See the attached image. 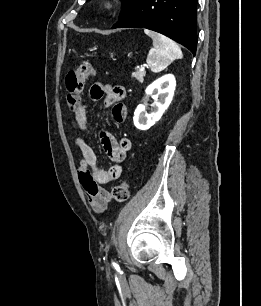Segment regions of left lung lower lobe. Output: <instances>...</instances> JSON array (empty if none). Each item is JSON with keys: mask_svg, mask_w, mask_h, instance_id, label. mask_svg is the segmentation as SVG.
I'll use <instances>...</instances> for the list:
<instances>
[{"mask_svg": "<svg viewBox=\"0 0 261 306\" xmlns=\"http://www.w3.org/2000/svg\"><path fill=\"white\" fill-rule=\"evenodd\" d=\"M198 0H136L112 26L147 28L159 32L196 54V6Z\"/></svg>", "mask_w": 261, "mask_h": 306, "instance_id": "left-lung-lower-lobe-1", "label": "left lung lower lobe"}]
</instances>
